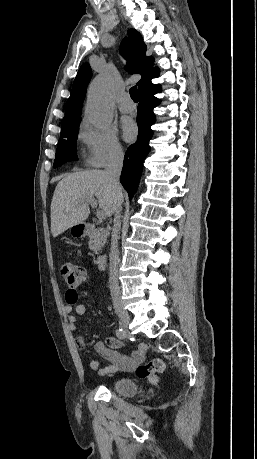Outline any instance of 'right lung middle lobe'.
Returning a JSON list of instances; mask_svg holds the SVG:
<instances>
[{"instance_id": "right-lung-middle-lobe-1", "label": "right lung middle lobe", "mask_w": 257, "mask_h": 459, "mask_svg": "<svg viewBox=\"0 0 257 459\" xmlns=\"http://www.w3.org/2000/svg\"><path fill=\"white\" fill-rule=\"evenodd\" d=\"M78 125L61 133L58 142L54 167L61 166L70 160H77L76 140L78 136Z\"/></svg>"}]
</instances>
